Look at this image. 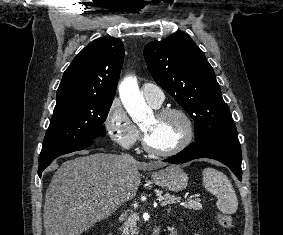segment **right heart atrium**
<instances>
[{
  "instance_id": "1",
  "label": "right heart atrium",
  "mask_w": 283,
  "mask_h": 235,
  "mask_svg": "<svg viewBox=\"0 0 283 235\" xmlns=\"http://www.w3.org/2000/svg\"><path fill=\"white\" fill-rule=\"evenodd\" d=\"M104 125L110 138L124 148L134 146L140 138L139 128L131 121L118 98L111 101Z\"/></svg>"
}]
</instances>
